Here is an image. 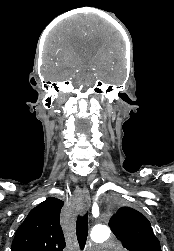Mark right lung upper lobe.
<instances>
[{
	"label": "right lung upper lobe",
	"instance_id": "right-lung-upper-lobe-1",
	"mask_svg": "<svg viewBox=\"0 0 174 251\" xmlns=\"http://www.w3.org/2000/svg\"><path fill=\"white\" fill-rule=\"evenodd\" d=\"M63 201L48 197L30 211L18 227L11 251H62L65 247L60 226Z\"/></svg>",
	"mask_w": 174,
	"mask_h": 251
}]
</instances>
